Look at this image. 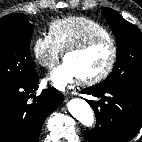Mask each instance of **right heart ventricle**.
<instances>
[{
	"mask_svg": "<svg viewBox=\"0 0 142 142\" xmlns=\"http://www.w3.org/2000/svg\"><path fill=\"white\" fill-rule=\"evenodd\" d=\"M48 35L63 52L92 35L110 36L109 31L99 22L85 16H69L53 21L48 28Z\"/></svg>",
	"mask_w": 142,
	"mask_h": 142,
	"instance_id": "e07e8e85",
	"label": "right heart ventricle"
}]
</instances>
